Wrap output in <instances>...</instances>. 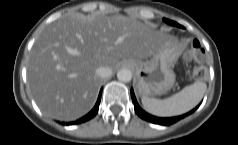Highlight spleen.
<instances>
[{
    "label": "spleen",
    "instance_id": "3e777b00",
    "mask_svg": "<svg viewBox=\"0 0 238 145\" xmlns=\"http://www.w3.org/2000/svg\"><path fill=\"white\" fill-rule=\"evenodd\" d=\"M206 88V83L197 81L164 100L143 96L141 101L144 109L152 115L160 117L176 116L194 108L202 100Z\"/></svg>",
    "mask_w": 238,
    "mask_h": 145
}]
</instances>
